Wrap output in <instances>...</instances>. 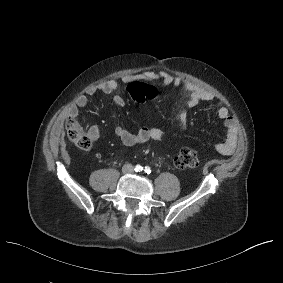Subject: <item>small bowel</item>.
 <instances>
[{
	"label": "small bowel",
	"instance_id": "1",
	"mask_svg": "<svg viewBox=\"0 0 283 283\" xmlns=\"http://www.w3.org/2000/svg\"><path fill=\"white\" fill-rule=\"evenodd\" d=\"M122 81L125 83H130L133 81L158 82L164 87H183V89L189 95L186 103L188 108L195 107L201 102L212 101L214 99V96L210 92L202 89L198 85L188 80H183L181 77L165 71H145L136 75L128 74L122 77ZM117 88L118 82L113 79L90 87L84 94H81L75 100L74 105L70 109L71 116L77 118L78 110L87 106L88 96H91L97 92L108 95L116 91ZM113 104L116 107H122L125 104V100L121 95H116L113 99ZM216 112L218 117L223 120L227 134L224 141L215 144L214 148L222 155H231L234 152L237 144L238 127L236 121L222 102H217ZM180 125L182 127H186V117L180 118ZM114 132L119 140L128 147L140 145L148 141L161 142L164 138L163 131L158 127H141L132 132L115 123ZM88 134L92 140V143L96 144L100 138L99 126H91L88 130Z\"/></svg>",
	"mask_w": 283,
	"mask_h": 283
}]
</instances>
